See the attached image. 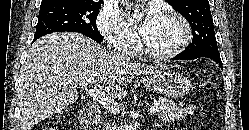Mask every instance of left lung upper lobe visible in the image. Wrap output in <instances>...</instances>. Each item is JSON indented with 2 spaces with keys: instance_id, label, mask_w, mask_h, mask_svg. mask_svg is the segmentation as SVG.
Wrapping results in <instances>:
<instances>
[{
  "instance_id": "left-lung-upper-lobe-1",
  "label": "left lung upper lobe",
  "mask_w": 249,
  "mask_h": 130,
  "mask_svg": "<svg viewBox=\"0 0 249 130\" xmlns=\"http://www.w3.org/2000/svg\"><path fill=\"white\" fill-rule=\"evenodd\" d=\"M166 1L187 19L192 28L193 40L184 52L219 55L208 0Z\"/></svg>"
}]
</instances>
